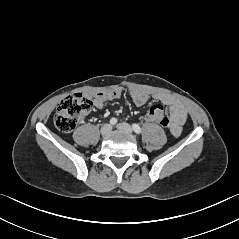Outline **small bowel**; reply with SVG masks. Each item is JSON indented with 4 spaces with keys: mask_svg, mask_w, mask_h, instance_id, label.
<instances>
[{
    "mask_svg": "<svg viewBox=\"0 0 239 239\" xmlns=\"http://www.w3.org/2000/svg\"><path fill=\"white\" fill-rule=\"evenodd\" d=\"M120 96L121 92L119 90L103 91L88 95V97L92 98L97 109H102L106 101L118 99ZM130 96L137 106L144 105L149 100V95L138 89L131 90ZM153 97L158 104L164 105L169 109V118L165 116L168 120L165 127L169 129L173 136H179L182 132V126L187 119L185 107L180 101L167 94L159 93Z\"/></svg>",
    "mask_w": 239,
    "mask_h": 239,
    "instance_id": "small-bowel-1",
    "label": "small bowel"
}]
</instances>
